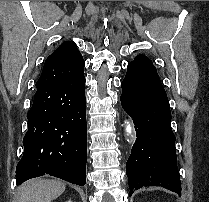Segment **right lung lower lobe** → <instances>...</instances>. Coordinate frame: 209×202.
I'll list each match as a JSON object with an SVG mask.
<instances>
[{"label":"right lung lower lobe","instance_id":"obj_1","mask_svg":"<svg viewBox=\"0 0 209 202\" xmlns=\"http://www.w3.org/2000/svg\"><path fill=\"white\" fill-rule=\"evenodd\" d=\"M64 58H47L38 81L24 153L16 167V182L49 174L73 184L86 183L87 128L85 77L61 73Z\"/></svg>","mask_w":209,"mask_h":202}]
</instances>
